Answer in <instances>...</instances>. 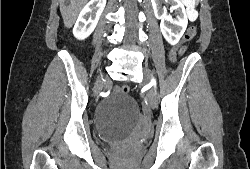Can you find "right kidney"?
Listing matches in <instances>:
<instances>
[{
    "instance_id": "obj_1",
    "label": "right kidney",
    "mask_w": 250,
    "mask_h": 169,
    "mask_svg": "<svg viewBox=\"0 0 250 169\" xmlns=\"http://www.w3.org/2000/svg\"><path fill=\"white\" fill-rule=\"evenodd\" d=\"M106 0H89L82 8L73 28V34L83 40L93 32L104 8Z\"/></svg>"
}]
</instances>
